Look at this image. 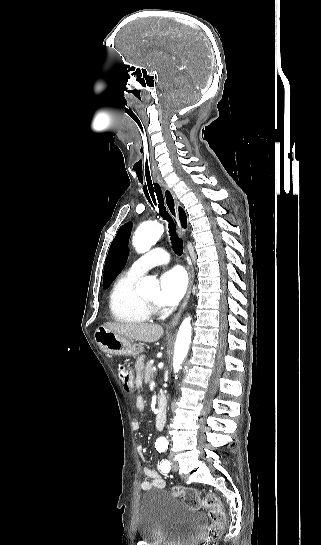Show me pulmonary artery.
Wrapping results in <instances>:
<instances>
[{
	"mask_svg": "<svg viewBox=\"0 0 321 545\" xmlns=\"http://www.w3.org/2000/svg\"><path fill=\"white\" fill-rule=\"evenodd\" d=\"M167 251L161 248L149 249L138 257L128 268V271L136 276L144 275L151 267L169 262Z\"/></svg>",
	"mask_w": 321,
	"mask_h": 545,
	"instance_id": "pulmonary-artery-1",
	"label": "pulmonary artery"
}]
</instances>
